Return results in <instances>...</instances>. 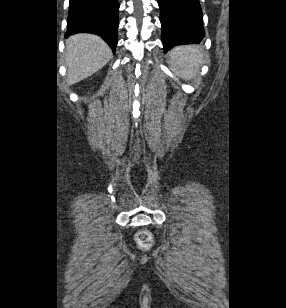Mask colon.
<instances>
[{"instance_id": "obj_1", "label": "colon", "mask_w": 286, "mask_h": 308, "mask_svg": "<svg viewBox=\"0 0 286 308\" xmlns=\"http://www.w3.org/2000/svg\"><path fill=\"white\" fill-rule=\"evenodd\" d=\"M137 242L142 247H149L152 244V236L146 230H141L137 233L136 236Z\"/></svg>"}]
</instances>
